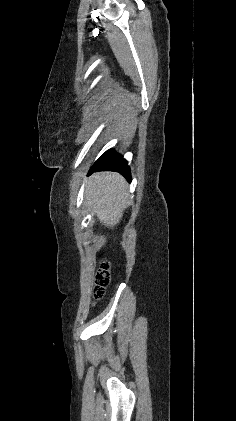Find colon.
I'll list each match as a JSON object with an SVG mask.
<instances>
[{
	"mask_svg": "<svg viewBox=\"0 0 236 421\" xmlns=\"http://www.w3.org/2000/svg\"><path fill=\"white\" fill-rule=\"evenodd\" d=\"M110 264L103 262L96 273L95 287H94V298L101 299L104 296L105 289L110 282Z\"/></svg>",
	"mask_w": 236,
	"mask_h": 421,
	"instance_id": "obj_1",
	"label": "colon"
}]
</instances>
